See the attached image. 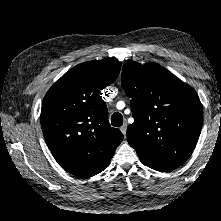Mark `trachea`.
<instances>
[{
    "mask_svg": "<svg viewBox=\"0 0 221 221\" xmlns=\"http://www.w3.org/2000/svg\"><path fill=\"white\" fill-rule=\"evenodd\" d=\"M111 124L114 127H120L123 124V117L119 112H115L112 116H111Z\"/></svg>",
    "mask_w": 221,
    "mask_h": 221,
    "instance_id": "1",
    "label": "trachea"
}]
</instances>
